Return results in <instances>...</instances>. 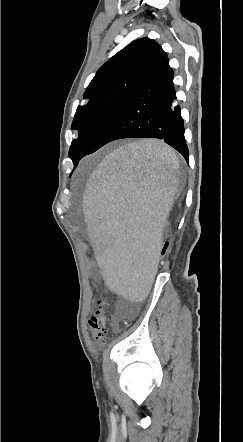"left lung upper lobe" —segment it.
<instances>
[{
    "instance_id": "left-lung-upper-lobe-1",
    "label": "left lung upper lobe",
    "mask_w": 243,
    "mask_h": 442,
    "mask_svg": "<svg viewBox=\"0 0 243 442\" xmlns=\"http://www.w3.org/2000/svg\"><path fill=\"white\" fill-rule=\"evenodd\" d=\"M149 38L131 42L100 67L84 93L87 103L79 105L72 123L78 131L69 150L74 168L98 137L119 104L144 80L164 55Z\"/></svg>"
}]
</instances>
